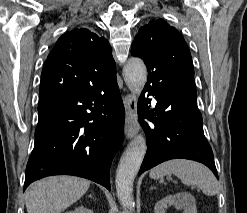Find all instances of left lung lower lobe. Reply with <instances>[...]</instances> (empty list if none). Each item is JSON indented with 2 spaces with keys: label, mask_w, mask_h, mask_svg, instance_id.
<instances>
[{
  "label": "left lung lower lobe",
  "mask_w": 247,
  "mask_h": 213,
  "mask_svg": "<svg viewBox=\"0 0 247 213\" xmlns=\"http://www.w3.org/2000/svg\"><path fill=\"white\" fill-rule=\"evenodd\" d=\"M160 82L155 77L147 78V84L139 99V115L154 124V128L142 121L146 134L147 152L139 175L161 162L183 158L208 166L218 179L212 149L204 136L202 116L197 107L196 90L184 79L171 77ZM156 100L150 110L151 99Z\"/></svg>",
  "instance_id": "1"
}]
</instances>
